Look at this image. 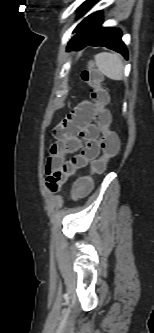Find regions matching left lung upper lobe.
<instances>
[{
	"label": "left lung upper lobe",
	"mask_w": 154,
	"mask_h": 333,
	"mask_svg": "<svg viewBox=\"0 0 154 333\" xmlns=\"http://www.w3.org/2000/svg\"><path fill=\"white\" fill-rule=\"evenodd\" d=\"M94 1H96V0H87L86 2H84L82 5H81V7H83L84 5H87V4H91V3H93ZM79 9H80V7H79ZM81 24V23H80ZM80 24H78V26L75 28V30L73 31V33H75L77 30H78V28L80 27Z\"/></svg>",
	"instance_id": "1"
}]
</instances>
